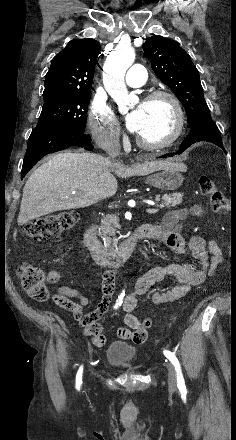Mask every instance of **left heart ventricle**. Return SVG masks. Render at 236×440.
I'll list each match as a JSON object with an SVG mask.
<instances>
[{"mask_svg": "<svg viewBox=\"0 0 236 440\" xmlns=\"http://www.w3.org/2000/svg\"><path fill=\"white\" fill-rule=\"evenodd\" d=\"M141 105L144 120L137 132L138 137L150 143L167 139L175 124L174 111L170 102L165 98H160Z\"/></svg>", "mask_w": 236, "mask_h": 440, "instance_id": "b2bd125f", "label": "left heart ventricle"}]
</instances>
